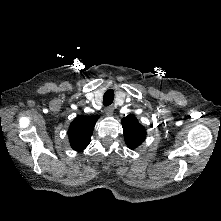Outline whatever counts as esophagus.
Masks as SVG:
<instances>
[{"label":"esophagus","instance_id":"1","mask_svg":"<svg viewBox=\"0 0 221 221\" xmlns=\"http://www.w3.org/2000/svg\"><path fill=\"white\" fill-rule=\"evenodd\" d=\"M113 111H114V108H113L112 106H108V107L105 108V114H106L107 116L112 115V114H113Z\"/></svg>","mask_w":221,"mask_h":221}]
</instances>
